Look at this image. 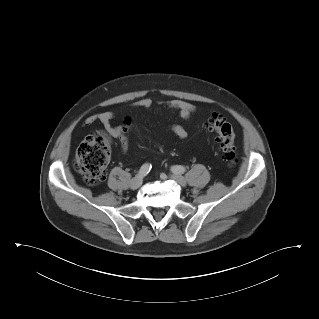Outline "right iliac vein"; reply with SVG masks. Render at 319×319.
Masks as SVG:
<instances>
[{"instance_id":"right-iliac-vein-1","label":"right iliac vein","mask_w":319,"mask_h":319,"mask_svg":"<svg viewBox=\"0 0 319 319\" xmlns=\"http://www.w3.org/2000/svg\"><path fill=\"white\" fill-rule=\"evenodd\" d=\"M142 182H143L142 177L140 176L134 177L130 182L131 189L133 190L138 189L142 185Z\"/></svg>"}]
</instances>
